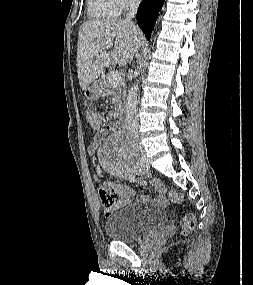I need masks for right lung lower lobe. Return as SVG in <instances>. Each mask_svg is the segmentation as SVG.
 <instances>
[{
    "instance_id": "98d812e1",
    "label": "right lung lower lobe",
    "mask_w": 253,
    "mask_h": 285,
    "mask_svg": "<svg viewBox=\"0 0 253 285\" xmlns=\"http://www.w3.org/2000/svg\"><path fill=\"white\" fill-rule=\"evenodd\" d=\"M163 4L164 0H144L138 8L136 19L147 39L150 38L151 31Z\"/></svg>"
}]
</instances>
